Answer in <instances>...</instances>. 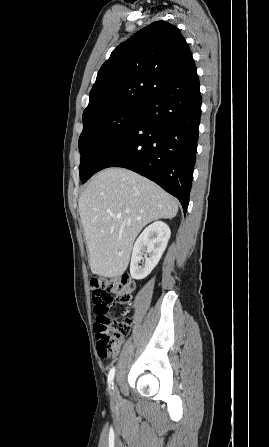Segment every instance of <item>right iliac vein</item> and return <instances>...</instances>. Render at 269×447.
I'll return each instance as SVG.
<instances>
[{
  "instance_id": "right-iliac-vein-1",
  "label": "right iliac vein",
  "mask_w": 269,
  "mask_h": 447,
  "mask_svg": "<svg viewBox=\"0 0 269 447\" xmlns=\"http://www.w3.org/2000/svg\"><path fill=\"white\" fill-rule=\"evenodd\" d=\"M111 394H112V403L116 404L119 399V392H118L116 386L112 387Z\"/></svg>"
}]
</instances>
